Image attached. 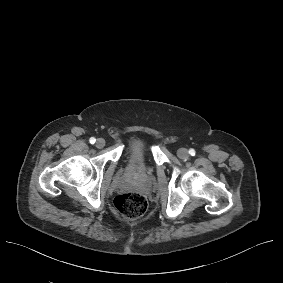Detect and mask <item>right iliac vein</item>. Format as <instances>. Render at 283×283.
I'll return each mask as SVG.
<instances>
[{"instance_id": "1", "label": "right iliac vein", "mask_w": 283, "mask_h": 283, "mask_svg": "<svg viewBox=\"0 0 283 283\" xmlns=\"http://www.w3.org/2000/svg\"><path fill=\"white\" fill-rule=\"evenodd\" d=\"M104 146H105V140L102 139V138L97 139V141H96V147L102 148V147H104Z\"/></svg>"}]
</instances>
